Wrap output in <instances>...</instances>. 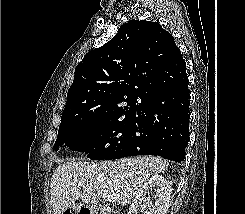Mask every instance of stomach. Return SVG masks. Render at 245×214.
Listing matches in <instances>:
<instances>
[{
	"instance_id": "stomach-1",
	"label": "stomach",
	"mask_w": 245,
	"mask_h": 214,
	"mask_svg": "<svg viewBox=\"0 0 245 214\" xmlns=\"http://www.w3.org/2000/svg\"><path fill=\"white\" fill-rule=\"evenodd\" d=\"M71 209L76 211V212H79L81 209V206L73 203L72 205H70L69 209H67L64 213H71Z\"/></svg>"
}]
</instances>
